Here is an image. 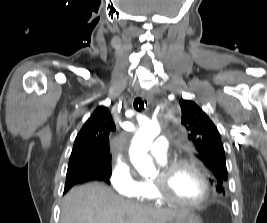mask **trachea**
Returning a JSON list of instances; mask_svg holds the SVG:
<instances>
[{
  "label": "trachea",
  "mask_w": 267,
  "mask_h": 223,
  "mask_svg": "<svg viewBox=\"0 0 267 223\" xmlns=\"http://www.w3.org/2000/svg\"><path fill=\"white\" fill-rule=\"evenodd\" d=\"M146 104V100H143L142 98H136L134 100V108L136 110H142L144 108V105Z\"/></svg>",
  "instance_id": "obj_1"
}]
</instances>
